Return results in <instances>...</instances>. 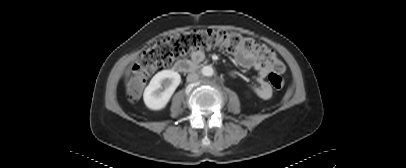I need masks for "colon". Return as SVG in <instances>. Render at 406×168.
I'll return each mask as SVG.
<instances>
[{"label": "colon", "mask_w": 406, "mask_h": 168, "mask_svg": "<svg viewBox=\"0 0 406 168\" xmlns=\"http://www.w3.org/2000/svg\"><path fill=\"white\" fill-rule=\"evenodd\" d=\"M215 47L230 53L243 52L259 56L272 67L268 76L272 87L277 90L283 87L284 65L266 44L248 36L221 29H193L155 42L138 57L125 76L128 99L136 101L141 96L147 78L155 71L170 66L177 59Z\"/></svg>", "instance_id": "obj_1"}]
</instances>
